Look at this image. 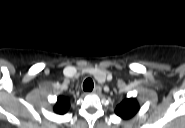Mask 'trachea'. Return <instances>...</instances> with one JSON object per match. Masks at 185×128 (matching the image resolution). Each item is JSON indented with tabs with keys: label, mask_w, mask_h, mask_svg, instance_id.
Listing matches in <instances>:
<instances>
[{
	"label": "trachea",
	"mask_w": 185,
	"mask_h": 128,
	"mask_svg": "<svg viewBox=\"0 0 185 128\" xmlns=\"http://www.w3.org/2000/svg\"><path fill=\"white\" fill-rule=\"evenodd\" d=\"M94 88V82L91 78H88L83 83V89L85 91H91Z\"/></svg>",
	"instance_id": "trachea-1"
}]
</instances>
